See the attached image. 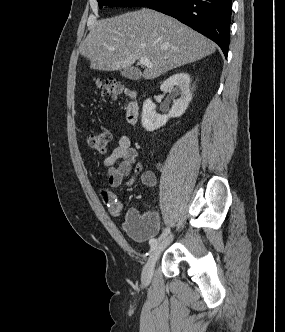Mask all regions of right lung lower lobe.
Masks as SVG:
<instances>
[{"instance_id": "98d812e1", "label": "right lung lower lobe", "mask_w": 285, "mask_h": 332, "mask_svg": "<svg viewBox=\"0 0 285 332\" xmlns=\"http://www.w3.org/2000/svg\"><path fill=\"white\" fill-rule=\"evenodd\" d=\"M145 6L170 15L210 38L227 57L232 0H151Z\"/></svg>"}]
</instances>
